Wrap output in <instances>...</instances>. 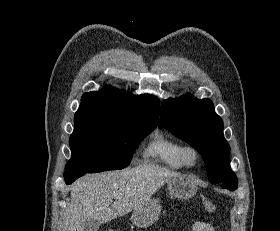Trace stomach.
Listing matches in <instances>:
<instances>
[{
  "label": "stomach",
  "mask_w": 280,
  "mask_h": 231,
  "mask_svg": "<svg viewBox=\"0 0 280 231\" xmlns=\"http://www.w3.org/2000/svg\"><path fill=\"white\" fill-rule=\"evenodd\" d=\"M198 179L194 175H174L167 181V189L170 195L179 197V199H189L193 197L197 191ZM161 213V205L159 199L150 197L148 201H144L140 207H135L131 215L134 225L138 227H149L154 221H157Z\"/></svg>",
  "instance_id": "obj_1"
}]
</instances>
